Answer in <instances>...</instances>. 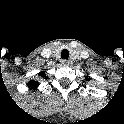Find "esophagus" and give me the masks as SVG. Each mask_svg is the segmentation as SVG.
Here are the masks:
<instances>
[{
    "mask_svg": "<svg viewBox=\"0 0 124 124\" xmlns=\"http://www.w3.org/2000/svg\"><path fill=\"white\" fill-rule=\"evenodd\" d=\"M62 63H63V64L69 65V64L71 63V61L68 60V59H67V60H66V59H63V60H62Z\"/></svg>",
    "mask_w": 124,
    "mask_h": 124,
    "instance_id": "34e87169",
    "label": "esophagus"
}]
</instances>
